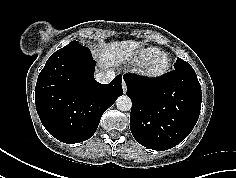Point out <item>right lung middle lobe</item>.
Returning <instances> with one entry per match:
<instances>
[{
	"label": "right lung middle lobe",
	"mask_w": 236,
	"mask_h": 178,
	"mask_svg": "<svg viewBox=\"0 0 236 178\" xmlns=\"http://www.w3.org/2000/svg\"><path fill=\"white\" fill-rule=\"evenodd\" d=\"M80 45L79 42L77 41H71L67 46L59 49V50H64V49H68V48H71V47H74V46H78Z\"/></svg>",
	"instance_id": "obj_1"
}]
</instances>
